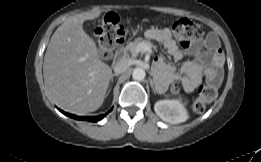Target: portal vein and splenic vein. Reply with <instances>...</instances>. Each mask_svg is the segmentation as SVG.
<instances>
[{
    "instance_id": "1",
    "label": "portal vein and splenic vein",
    "mask_w": 261,
    "mask_h": 162,
    "mask_svg": "<svg viewBox=\"0 0 261 162\" xmlns=\"http://www.w3.org/2000/svg\"><path fill=\"white\" fill-rule=\"evenodd\" d=\"M137 51H138V52H140V51H147V52H149V53L152 52L150 46H148L147 44H141V45H139Z\"/></svg>"
}]
</instances>
